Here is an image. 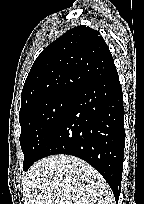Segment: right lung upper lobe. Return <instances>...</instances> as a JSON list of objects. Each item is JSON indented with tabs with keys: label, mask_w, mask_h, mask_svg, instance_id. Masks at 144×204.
Masks as SVG:
<instances>
[{
	"label": "right lung upper lobe",
	"mask_w": 144,
	"mask_h": 204,
	"mask_svg": "<svg viewBox=\"0 0 144 204\" xmlns=\"http://www.w3.org/2000/svg\"><path fill=\"white\" fill-rule=\"evenodd\" d=\"M115 70L98 31L82 25L72 28L35 60L23 86L20 113L57 94H77Z\"/></svg>",
	"instance_id": "obj_1"
}]
</instances>
